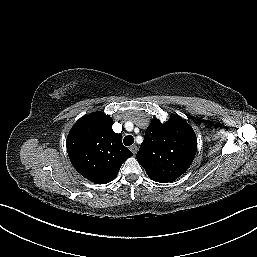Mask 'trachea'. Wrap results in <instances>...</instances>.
I'll use <instances>...</instances> for the list:
<instances>
[{"mask_svg": "<svg viewBox=\"0 0 257 257\" xmlns=\"http://www.w3.org/2000/svg\"><path fill=\"white\" fill-rule=\"evenodd\" d=\"M123 143H124V145H126V146L132 145V144L134 143V138H133V136H131V135L126 136V137L123 139Z\"/></svg>", "mask_w": 257, "mask_h": 257, "instance_id": "3493384b", "label": "trachea"}]
</instances>
